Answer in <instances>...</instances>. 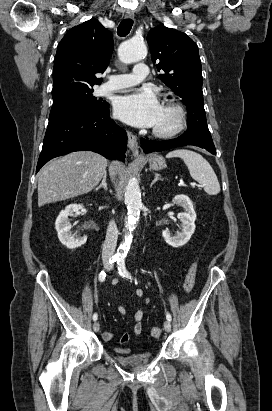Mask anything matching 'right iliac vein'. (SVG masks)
Listing matches in <instances>:
<instances>
[{"label":"right iliac vein","instance_id":"1","mask_svg":"<svg viewBox=\"0 0 272 411\" xmlns=\"http://www.w3.org/2000/svg\"><path fill=\"white\" fill-rule=\"evenodd\" d=\"M99 329H100V324H99V322H94V324H93V330H94L95 332H98Z\"/></svg>","mask_w":272,"mask_h":411}]
</instances>
